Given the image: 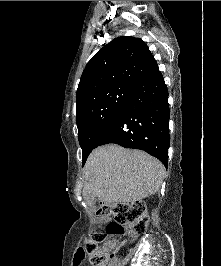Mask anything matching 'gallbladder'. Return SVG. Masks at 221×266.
<instances>
[{"instance_id":"bac80fb5","label":"gallbladder","mask_w":221,"mask_h":266,"mask_svg":"<svg viewBox=\"0 0 221 266\" xmlns=\"http://www.w3.org/2000/svg\"><path fill=\"white\" fill-rule=\"evenodd\" d=\"M96 201H97V198H96V197H91V198L88 200L89 203H94V202H96Z\"/></svg>"}]
</instances>
